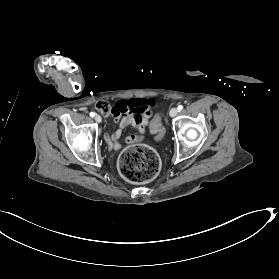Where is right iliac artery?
Wrapping results in <instances>:
<instances>
[{
    "mask_svg": "<svg viewBox=\"0 0 279 279\" xmlns=\"http://www.w3.org/2000/svg\"><path fill=\"white\" fill-rule=\"evenodd\" d=\"M90 116H91V117H94V116H95V113H94V112H90Z\"/></svg>",
    "mask_w": 279,
    "mask_h": 279,
    "instance_id": "1",
    "label": "right iliac artery"
}]
</instances>
